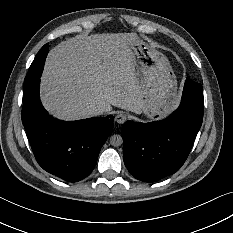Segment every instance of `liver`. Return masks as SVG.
Here are the masks:
<instances>
[{
    "label": "liver",
    "mask_w": 233,
    "mask_h": 233,
    "mask_svg": "<svg viewBox=\"0 0 233 233\" xmlns=\"http://www.w3.org/2000/svg\"><path fill=\"white\" fill-rule=\"evenodd\" d=\"M133 33L77 34L50 49L40 76V101L61 121L93 117L92 107L140 110L138 80L131 71L127 41Z\"/></svg>",
    "instance_id": "1"
}]
</instances>
